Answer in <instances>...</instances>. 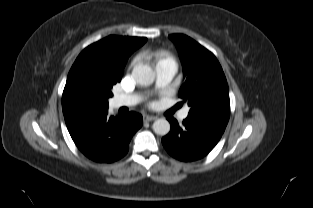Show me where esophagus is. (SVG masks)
I'll use <instances>...</instances> for the list:
<instances>
[{
  "mask_svg": "<svg viewBox=\"0 0 313 208\" xmlns=\"http://www.w3.org/2000/svg\"><path fill=\"white\" fill-rule=\"evenodd\" d=\"M156 119H157V116H151V115H145L144 116V121H146V122L154 121Z\"/></svg>",
  "mask_w": 313,
  "mask_h": 208,
  "instance_id": "34e87169",
  "label": "esophagus"
}]
</instances>
